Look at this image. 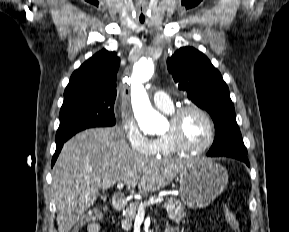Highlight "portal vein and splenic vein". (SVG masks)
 Wrapping results in <instances>:
<instances>
[{
  "instance_id": "portal-vein-and-splenic-vein-1",
  "label": "portal vein and splenic vein",
  "mask_w": 289,
  "mask_h": 232,
  "mask_svg": "<svg viewBox=\"0 0 289 232\" xmlns=\"http://www.w3.org/2000/svg\"><path fill=\"white\" fill-rule=\"evenodd\" d=\"M123 187H124V183L123 182H120V183L117 184V188L118 189H121ZM163 200L164 199L161 197V198H156V199H150L147 203H140L139 207H138V211L141 212V213H144L146 206L157 204V203H161V202H163Z\"/></svg>"
}]
</instances>
